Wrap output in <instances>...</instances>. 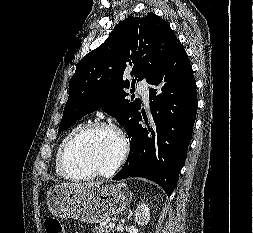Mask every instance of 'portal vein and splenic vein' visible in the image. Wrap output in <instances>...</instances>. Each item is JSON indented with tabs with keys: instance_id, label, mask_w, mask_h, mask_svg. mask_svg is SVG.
Masks as SVG:
<instances>
[{
	"instance_id": "obj_1",
	"label": "portal vein and splenic vein",
	"mask_w": 253,
	"mask_h": 233,
	"mask_svg": "<svg viewBox=\"0 0 253 233\" xmlns=\"http://www.w3.org/2000/svg\"><path fill=\"white\" fill-rule=\"evenodd\" d=\"M109 227H110V228H114V227H115V224H114V223H109Z\"/></svg>"
}]
</instances>
